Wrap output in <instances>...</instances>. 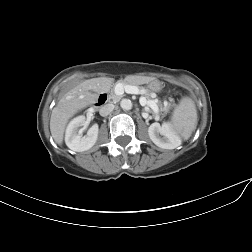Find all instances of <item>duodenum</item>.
<instances>
[{"instance_id": "obj_1", "label": "duodenum", "mask_w": 252, "mask_h": 252, "mask_svg": "<svg viewBox=\"0 0 252 252\" xmlns=\"http://www.w3.org/2000/svg\"><path fill=\"white\" fill-rule=\"evenodd\" d=\"M109 100V95L107 93H102L98 96L96 102H95V107H102L104 106Z\"/></svg>"}]
</instances>
